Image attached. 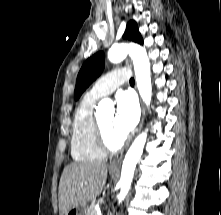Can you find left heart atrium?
I'll return each instance as SVG.
<instances>
[{
    "label": "left heart atrium",
    "mask_w": 221,
    "mask_h": 215,
    "mask_svg": "<svg viewBox=\"0 0 221 215\" xmlns=\"http://www.w3.org/2000/svg\"><path fill=\"white\" fill-rule=\"evenodd\" d=\"M139 120V107L135 96L130 92H121L116 97V111L113 119V130L125 138Z\"/></svg>",
    "instance_id": "left-heart-atrium-1"
}]
</instances>
